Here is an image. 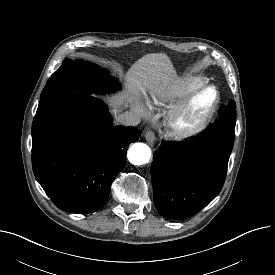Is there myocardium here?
Instances as JSON below:
<instances>
[{
    "label": "myocardium",
    "mask_w": 275,
    "mask_h": 275,
    "mask_svg": "<svg viewBox=\"0 0 275 275\" xmlns=\"http://www.w3.org/2000/svg\"><path fill=\"white\" fill-rule=\"evenodd\" d=\"M207 91H212L214 93V100L209 109L200 119L194 123L188 126H181L179 122L190 108L193 100L200 94ZM219 103L220 95L215 86L204 85L191 91L168 110L164 118V126L167 134L175 140H184L198 135L208 126L212 120L214 114L217 111Z\"/></svg>",
    "instance_id": "1"
}]
</instances>
